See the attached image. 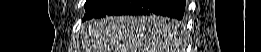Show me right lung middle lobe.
<instances>
[{"label":"right lung middle lobe","mask_w":261,"mask_h":52,"mask_svg":"<svg viewBox=\"0 0 261 52\" xmlns=\"http://www.w3.org/2000/svg\"><path fill=\"white\" fill-rule=\"evenodd\" d=\"M106 0H87L85 3V10L86 13L95 9L96 7L100 6L101 4H103ZM175 18H173L172 20H170L172 23L179 25L180 22H178L177 20H174ZM181 20V19H180Z\"/></svg>","instance_id":"right-lung-middle-lobe-1"}]
</instances>
